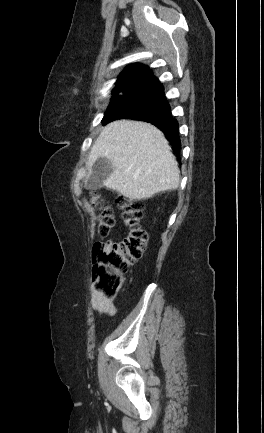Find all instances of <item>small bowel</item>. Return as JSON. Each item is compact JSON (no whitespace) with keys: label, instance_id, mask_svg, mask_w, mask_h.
Wrapping results in <instances>:
<instances>
[{"label":"small bowel","instance_id":"c3829d8e","mask_svg":"<svg viewBox=\"0 0 264 433\" xmlns=\"http://www.w3.org/2000/svg\"><path fill=\"white\" fill-rule=\"evenodd\" d=\"M90 304L100 314L114 316L117 313L114 299L104 297L96 287L92 288Z\"/></svg>","mask_w":264,"mask_h":433}]
</instances>
